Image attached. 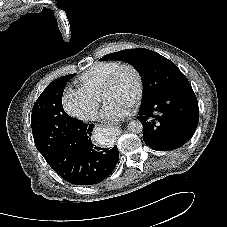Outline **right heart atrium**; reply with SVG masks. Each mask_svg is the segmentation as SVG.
Returning <instances> with one entry per match:
<instances>
[{
	"mask_svg": "<svg viewBox=\"0 0 227 227\" xmlns=\"http://www.w3.org/2000/svg\"><path fill=\"white\" fill-rule=\"evenodd\" d=\"M62 106L70 116L84 120H95L98 114V101L91 94L80 90L67 88L62 95Z\"/></svg>",
	"mask_w": 227,
	"mask_h": 227,
	"instance_id": "1",
	"label": "right heart atrium"
}]
</instances>
